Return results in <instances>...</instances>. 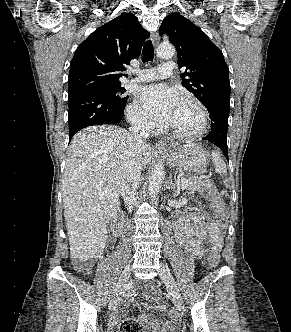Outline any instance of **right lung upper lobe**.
Listing matches in <instances>:
<instances>
[{
  "label": "right lung upper lobe",
  "instance_id": "cb5924a9",
  "mask_svg": "<svg viewBox=\"0 0 291 332\" xmlns=\"http://www.w3.org/2000/svg\"><path fill=\"white\" fill-rule=\"evenodd\" d=\"M149 33L132 13H123L94 31L76 49L70 63L68 94L99 82L118 84L126 65L140 55Z\"/></svg>",
  "mask_w": 291,
  "mask_h": 332
}]
</instances>
